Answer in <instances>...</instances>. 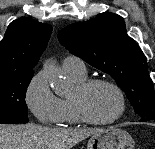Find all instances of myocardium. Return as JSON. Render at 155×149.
Here are the masks:
<instances>
[{"instance_id":"1","label":"myocardium","mask_w":155,"mask_h":149,"mask_svg":"<svg viewBox=\"0 0 155 149\" xmlns=\"http://www.w3.org/2000/svg\"><path fill=\"white\" fill-rule=\"evenodd\" d=\"M97 85H107L111 87L116 92L119 98L118 113L111 119L104 120V121L96 120L90 116V114L87 112L84 106V102H83L84 95H86V93L89 90H91L93 87ZM76 89H77L78 95L76 97H72L71 102L80 121L94 126H107L119 121L124 116L126 112V97L121 87L115 82H113L112 80L105 79V78L86 79L85 81L79 83Z\"/></svg>"}]
</instances>
